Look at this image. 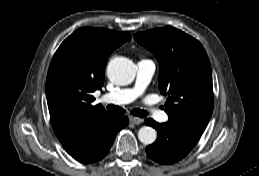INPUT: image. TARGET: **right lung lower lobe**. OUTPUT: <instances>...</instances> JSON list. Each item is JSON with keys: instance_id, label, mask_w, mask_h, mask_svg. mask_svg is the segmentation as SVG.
Here are the masks:
<instances>
[{"instance_id": "obj_1", "label": "right lung lower lobe", "mask_w": 259, "mask_h": 176, "mask_svg": "<svg viewBox=\"0 0 259 176\" xmlns=\"http://www.w3.org/2000/svg\"><path fill=\"white\" fill-rule=\"evenodd\" d=\"M128 124V118L121 114H111L100 130L75 151L68 152L81 163H94L109 152L117 133Z\"/></svg>"}]
</instances>
